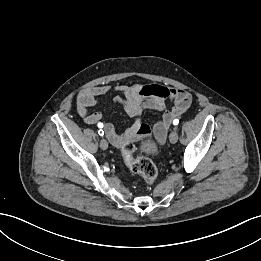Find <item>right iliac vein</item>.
Listing matches in <instances>:
<instances>
[{"label": "right iliac vein", "mask_w": 261, "mask_h": 261, "mask_svg": "<svg viewBox=\"0 0 261 261\" xmlns=\"http://www.w3.org/2000/svg\"><path fill=\"white\" fill-rule=\"evenodd\" d=\"M100 147L103 150H106L108 148V142L104 138L100 140Z\"/></svg>", "instance_id": "right-iliac-vein-1"}]
</instances>
